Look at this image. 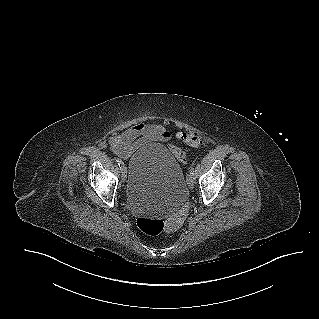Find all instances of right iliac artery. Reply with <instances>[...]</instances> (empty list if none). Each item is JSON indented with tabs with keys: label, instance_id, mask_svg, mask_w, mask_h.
<instances>
[{
	"label": "right iliac artery",
	"instance_id": "right-iliac-artery-1",
	"mask_svg": "<svg viewBox=\"0 0 319 319\" xmlns=\"http://www.w3.org/2000/svg\"><path fill=\"white\" fill-rule=\"evenodd\" d=\"M116 162H117V164L119 165L120 170H122V168H123V166H124V163L122 162V160L116 158Z\"/></svg>",
	"mask_w": 319,
	"mask_h": 319
}]
</instances>
